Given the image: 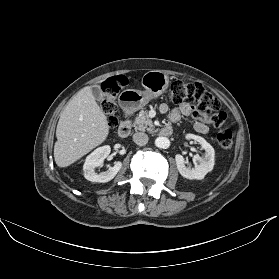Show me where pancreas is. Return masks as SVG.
<instances>
[{"instance_id": "pancreas-1", "label": "pancreas", "mask_w": 279, "mask_h": 279, "mask_svg": "<svg viewBox=\"0 0 279 279\" xmlns=\"http://www.w3.org/2000/svg\"><path fill=\"white\" fill-rule=\"evenodd\" d=\"M133 126L135 130H140V131H149L153 132V122L151 119H149L148 113L145 110H141L139 112V115L135 118L133 122Z\"/></svg>"}]
</instances>
